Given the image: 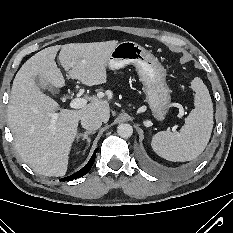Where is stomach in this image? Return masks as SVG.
Instances as JSON below:
<instances>
[{"instance_id":"obj_1","label":"stomach","mask_w":233,"mask_h":233,"mask_svg":"<svg viewBox=\"0 0 233 233\" xmlns=\"http://www.w3.org/2000/svg\"><path fill=\"white\" fill-rule=\"evenodd\" d=\"M127 65H133L136 68L143 84L145 101L153 117L158 121L164 120L171 96L163 66L157 58L139 44L133 41H123L111 51L107 67L111 70H118Z\"/></svg>"}]
</instances>
